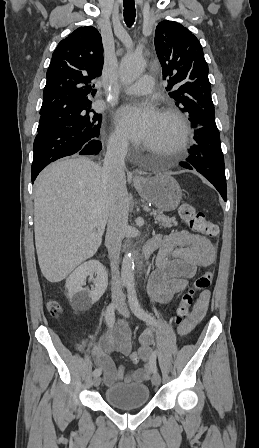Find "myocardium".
<instances>
[{"instance_id":"1","label":"myocardium","mask_w":259,"mask_h":448,"mask_svg":"<svg viewBox=\"0 0 259 448\" xmlns=\"http://www.w3.org/2000/svg\"><path fill=\"white\" fill-rule=\"evenodd\" d=\"M159 116L174 120L177 126V135L175 140L162 152L175 156L180 155L187 143L189 136V126L184 115L175 106L171 104H165L162 107Z\"/></svg>"}]
</instances>
